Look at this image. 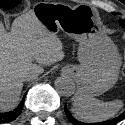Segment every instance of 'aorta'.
Here are the masks:
<instances>
[{"label": "aorta", "instance_id": "1", "mask_svg": "<svg viewBox=\"0 0 125 125\" xmlns=\"http://www.w3.org/2000/svg\"><path fill=\"white\" fill-rule=\"evenodd\" d=\"M55 89L61 96L70 97L74 94L75 84L69 77H58L55 81Z\"/></svg>", "mask_w": 125, "mask_h": 125}]
</instances>
